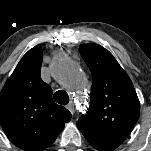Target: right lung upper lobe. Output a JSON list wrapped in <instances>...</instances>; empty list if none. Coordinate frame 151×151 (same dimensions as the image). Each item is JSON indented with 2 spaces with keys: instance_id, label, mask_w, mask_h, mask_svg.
I'll return each instance as SVG.
<instances>
[{
  "instance_id": "obj_1",
  "label": "right lung upper lobe",
  "mask_w": 151,
  "mask_h": 151,
  "mask_svg": "<svg viewBox=\"0 0 151 151\" xmlns=\"http://www.w3.org/2000/svg\"><path fill=\"white\" fill-rule=\"evenodd\" d=\"M42 49H30L0 93V124L8 138L25 151H43L71 119L52 100V89L40 77Z\"/></svg>"
}]
</instances>
